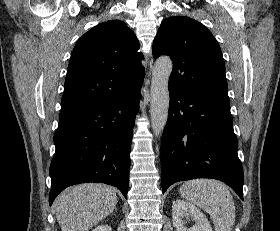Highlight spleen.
Returning a JSON list of instances; mask_svg holds the SVG:
<instances>
[{"mask_svg": "<svg viewBox=\"0 0 280 231\" xmlns=\"http://www.w3.org/2000/svg\"><path fill=\"white\" fill-rule=\"evenodd\" d=\"M181 197L209 213L215 231H232L235 203L226 185L216 179H190L179 189Z\"/></svg>", "mask_w": 280, "mask_h": 231, "instance_id": "spleen-1", "label": "spleen"}]
</instances>
